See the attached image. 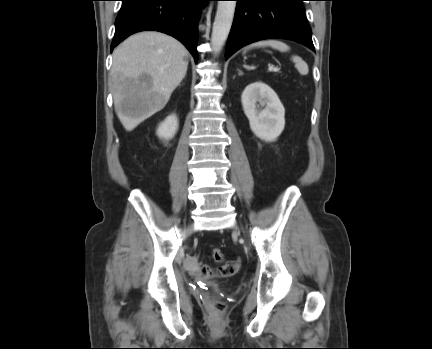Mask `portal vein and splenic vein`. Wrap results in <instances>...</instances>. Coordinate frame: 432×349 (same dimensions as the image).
Returning <instances> with one entry per match:
<instances>
[{
	"label": "portal vein and splenic vein",
	"instance_id": "18ae733b",
	"mask_svg": "<svg viewBox=\"0 0 432 349\" xmlns=\"http://www.w3.org/2000/svg\"><path fill=\"white\" fill-rule=\"evenodd\" d=\"M268 70H269L270 72H278V71H279V68H278V67H275V66H273V65H270L269 68H268Z\"/></svg>",
	"mask_w": 432,
	"mask_h": 349
}]
</instances>
